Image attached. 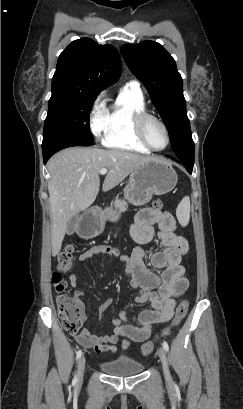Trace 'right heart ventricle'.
<instances>
[{"mask_svg":"<svg viewBox=\"0 0 243 409\" xmlns=\"http://www.w3.org/2000/svg\"><path fill=\"white\" fill-rule=\"evenodd\" d=\"M145 111L144 96L141 91L123 87L109 107V129L104 137L106 147L149 154L148 149L136 135L134 117Z\"/></svg>","mask_w":243,"mask_h":409,"instance_id":"1","label":"right heart ventricle"}]
</instances>
